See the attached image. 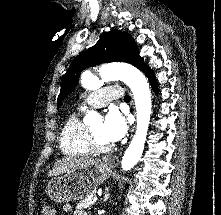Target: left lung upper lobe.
<instances>
[{"instance_id":"obj_1","label":"left lung upper lobe","mask_w":221,"mask_h":215,"mask_svg":"<svg viewBox=\"0 0 221 215\" xmlns=\"http://www.w3.org/2000/svg\"><path fill=\"white\" fill-rule=\"evenodd\" d=\"M114 61L130 63L141 71L148 67L139 56L137 45L128 33L120 30L106 32L94 46L79 54L70 64L61 83L58 108L62 100L75 88L83 69Z\"/></svg>"}]
</instances>
